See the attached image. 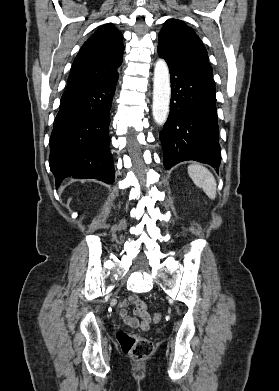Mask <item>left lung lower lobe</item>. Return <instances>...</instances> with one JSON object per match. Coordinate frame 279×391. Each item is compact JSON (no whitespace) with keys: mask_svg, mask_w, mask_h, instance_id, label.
I'll use <instances>...</instances> for the list:
<instances>
[{"mask_svg":"<svg viewBox=\"0 0 279 391\" xmlns=\"http://www.w3.org/2000/svg\"><path fill=\"white\" fill-rule=\"evenodd\" d=\"M167 64L172 95L170 113L159 135L164 166L170 169L179 162L195 160L218 171L221 156L215 85L183 67Z\"/></svg>","mask_w":279,"mask_h":391,"instance_id":"left-lung-lower-lobe-1","label":"left lung lower lobe"}]
</instances>
